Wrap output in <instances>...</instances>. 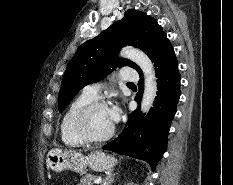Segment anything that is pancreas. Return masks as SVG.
I'll return each mask as SVG.
<instances>
[{
    "mask_svg": "<svg viewBox=\"0 0 233 185\" xmlns=\"http://www.w3.org/2000/svg\"><path fill=\"white\" fill-rule=\"evenodd\" d=\"M97 178L95 175L86 174L80 179V183L77 185H92V182Z\"/></svg>",
    "mask_w": 233,
    "mask_h": 185,
    "instance_id": "cf45deb5",
    "label": "pancreas"
}]
</instances>
